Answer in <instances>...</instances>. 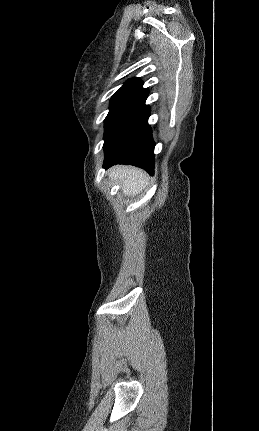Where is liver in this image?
Masks as SVG:
<instances>
[{
	"instance_id": "liver-1",
	"label": "liver",
	"mask_w": 259,
	"mask_h": 431,
	"mask_svg": "<svg viewBox=\"0 0 259 431\" xmlns=\"http://www.w3.org/2000/svg\"><path fill=\"white\" fill-rule=\"evenodd\" d=\"M110 178H116L121 183V189L127 196H134L149 182L148 175L141 169L129 166H116L110 169Z\"/></svg>"
}]
</instances>
